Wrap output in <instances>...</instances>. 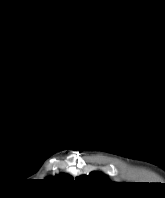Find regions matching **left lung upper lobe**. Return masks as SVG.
Instances as JSON below:
<instances>
[{
    "instance_id": "5c2ea615",
    "label": "left lung upper lobe",
    "mask_w": 165,
    "mask_h": 198,
    "mask_svg": "<svg viewBox=\"0 0 165 198\" xmlns=\"http://www.w3.org/2000/svg\"><path fill=\"white\" fill-rule=\"evenodd\" d=\"M78 179L88 182L107 181L105 175L100 172H91L88 176H79Z\"/></svg>"
}]
</instances>
